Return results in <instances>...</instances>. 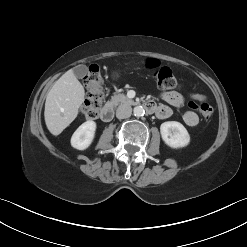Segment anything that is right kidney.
<instances>
[{
	"mask_svg": "<svg viewBox=\"0 0 247 247\" xmlns=\"http://www.w3.org/2000/svg\"><path fill=\"white\" fill-rule=\"evenodd\" d=\"M96 123L94 121H86L73 133L71 137V145L78 150L87 149L95 136Z\"/></svg>",
	"mask_w": 247,
	"mask_h": 247,
	"instance_id": "1",
	"label": "right kidney"
}]
</instances>
